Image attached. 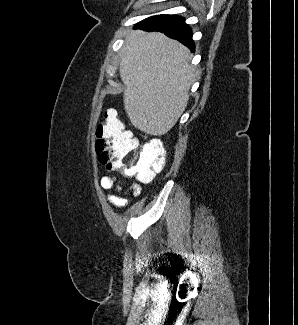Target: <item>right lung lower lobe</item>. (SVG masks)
Instances as JSON below:
<instances>
[{"mask_svg": "<svg viewBox=\"0 0 298 325\" xmlns=\"http://www.w3.org/2000/svg\"><path fill=\"white\" fill-rule=\"evenodd\" d=\"M136 28L145 31L162 32L170 38L177 39L190 48L192 52L194 51L195 45L192 40V32L183 17L164 15L153 19H145L139 22Z\"/></svg>", "mask_w": 298, "mask_h": 325, "instance_id": "98d812e1", "label": "right lung lower lobe"}]
</instances>
